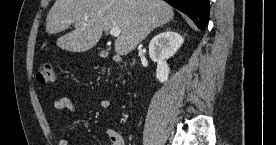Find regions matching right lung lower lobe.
Wrapping results in <instances>:
<instances>
[{"label": "right lung lower lobe", "instance_id": "1", "mask_svg": "<svg viewBox=\"0 0 276 145\" xmlns=\"http://www.w3.org/2000/svg\"><path fill=\"white\" fill-rule=\"evenodd\" d=\"M185 13L196 26L205 30L209 17V0H164Z\"/></svg>", "mask_w": 276, "mask_h": 145}]
</instances>
